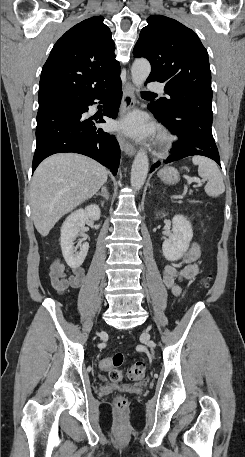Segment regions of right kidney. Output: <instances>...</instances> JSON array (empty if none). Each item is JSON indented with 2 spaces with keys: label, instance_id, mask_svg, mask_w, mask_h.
<instances>
[{
  "label": "right kidney",
  "instance_id": "ca27d5eb",
  "mask_svg": "<svg viewBox=\"0 0 245 457\" xmlns=\"http://www.w3.org/2000/svg\"><path fill=\"white\" fill-rule=\"evenodd\" d=\"M100 216L101 210L98 204H89L86 208L74 210V212H71L66 220H64L61 226L60 245L62 253H65L67 259H69L71 269H78V267H81L82 263L85 261V257H87L89 249V243H83V245H81V239H79L77 247H74L73 241H75L76 237H79V233L81 229H83V226H85V222L88 218H91V220H99ZM78 247H80V251H77Z\"/></svg>",
  "mask_w": 245,
  "mask_h": 457
}]
</instances>
